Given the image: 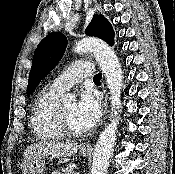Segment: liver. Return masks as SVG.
Segmentation results:
<instances>
[{"mask_svg": "<svg viewBox=\"0 0 175 174\" xmlns=\"http://www.w3.org/2000/svg\"><path fill=\"white\" fill-rule=\"evenodd\" d=\"M78 144L59 142H38L30 145L23 153L24 159H29L36 155H51L54 157H71L78 151Z\"/></svg>", "mask_w": 175, "mask_h": 174, "instance_id": "6515ba94", "label": "liver"}]
</instances>
